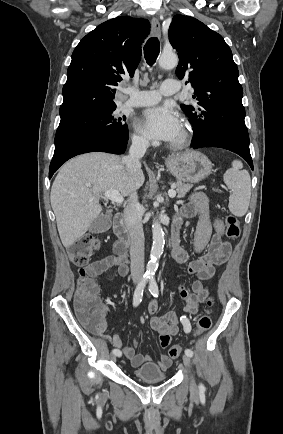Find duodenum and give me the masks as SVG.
<instances>
[{
  "instance_id": "410a0bca",
  "label": "duodenum",
  "mask_w": 283,
  "mask_h": 434,
  "mask_svg": "<svg viewBox=\"0 0 283 434\" xmlns=\"http://www.w3.org/2000/svg\"><path fill=\"white\" fill-rule=\"evenodd\" d=\"M113 231L118 237V242L121 247L126 251L130 245V235L124 224V216L122 213H116L113 221ZM179 239V227H172L171 241L175 242Z\"/></svg>"
}]
</instances>
